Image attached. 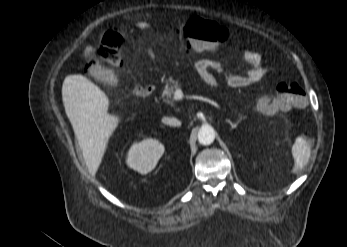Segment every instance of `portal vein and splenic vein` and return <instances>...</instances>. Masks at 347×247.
I'll return each instance as SVG.
<instances>
[{
    "instance_id": "1",
    "label": "portal vein and splenic vein",
    "mask_w": 347,
    "mask_h": 247,
    "mask_svg": "<svg viewBox=\"0 0 347 247\" xmlns=\"http://www.w3.org/2000/svg\"><path fill=\"white\" fill-rule=\"evenodd\" d=\"M173 98H174V100H180V99L183 98V92H182V90L180 88H176V90L174 92V97ZM190 98L191 99H195V100H201V101H204V102H208L209 104L215 106L216 108L221 109V106L217 102H215V101H213V100H211L209 98H206V97H203V96H195V95L190 96Z\"/></svg>"
}]
</instances>
